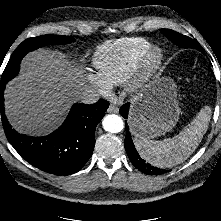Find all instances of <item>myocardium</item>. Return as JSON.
I'll return each instance as SVG.
<instances>
[{
	"label": "myocardium",
	"mask_w": 221,
	"mask_h": 221,
	"mask_svg": "<svg viewBox=\"0 0 221 221\" xmlns=\"http://www.w3.org/2000/svg\"><path fill=\"white\" fill-rule=\"evenodd\" d=\"M165 53L160 46L151 45L138 59L132 72L124 81L125 90L131 94H138L143 87L160 70Z\"/></svg>",
	"instance_id": "myocardium-1"
}]
</instances>
